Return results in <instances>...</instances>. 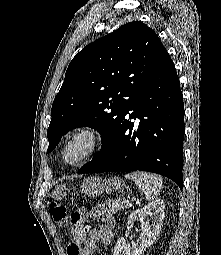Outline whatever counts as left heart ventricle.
<instances>
[{"instance_id":"obj_1","label":"left heart ventricle","mask_w":221,"mask_h":255,"mask_svg":"<svg viewBox=\"0 0 221 255\" xmlns=\"http://www.w3.org/2000/svg\"><path fill=\"white\" fill-rule=\"evenodd\" d=\"M88 142L84 138L75 140L67 149V159L71 162L78 160L87 150Z\"/></svg>"}]
</instances>
